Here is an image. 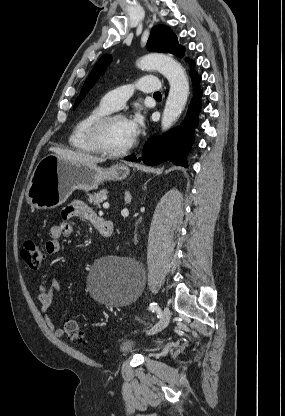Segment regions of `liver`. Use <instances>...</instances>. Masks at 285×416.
Segmentation results:
<instances>
[{
    "mask_svg": "<svg viewBox=\"0 0 285 416\" xmlns=\"http://www.w3.org/2000/svg\"><path fill=\"white\" fill-rule=\"evenodd\" d=\"M49 152H55L59 158L70 160V162H79V164H100V162H106L105 158L89 156L86 152H72V150H61V148H49Z\"/></svg>",
    "mask_w": 285,
    "mask_h": 416,
    "instance_id": "1",
    "label": "liver"
}]
</instances>
